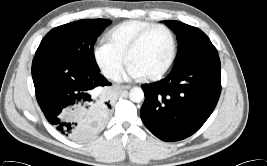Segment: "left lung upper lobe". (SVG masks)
<instances>
[{
	"label": "left lung upper lobe",
	"mask_w": 267,
	"mask_h": 166,
	"mask_svg": "<svg viewBox=\"0 0 267 166\" xmlns=\"http://www.w3.org/2000/svg\"><path fill=\"white\" fill-rule=\"evenodd\" d=\"M165 23L177 34L179 42L174 67L184 66L217 54L216 48L200 29L179 21H165Z\"/></svg>",
	"instance_id": "1"
}]
</instances>
